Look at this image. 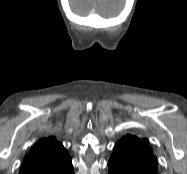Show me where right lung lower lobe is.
Segmentation results:
<instances>
[{
  "mask_svg": "<svg viewBox=\"0 0 187 174\" xmlns=\"http://www.w3.org/2000/svg\"><path fill=\"white\" fill-rule=\"evenodd\" d=\"M74 172H73V170L72 171H70V172H68L67 174H73Z\"/></svg>",
  "mask_w": 187,
  "mask_h": 174,
  "instance_id": "obj_1",
  "label": "right lung lower lobe"
}]
</instances>
